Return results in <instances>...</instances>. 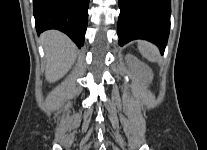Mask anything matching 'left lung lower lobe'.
Returning a JSON list of instances; mask_svg holds the SVG:
<instances>
[{"label":"left lung lower lobe","instance_id":"0a47b994","mask_svg":"<svg viewBox=\"0 0 207 150\" xmlns=\"http://www.w3.org/2000/svg\"><path fill=\"white\" fill-rule=\"evenodd\" d=\"M119 45L146 39L164 52L170 30V0H119Z\"/></svg>","mask_w":207,"mask_h":150}]
</instances>
